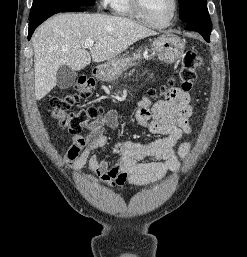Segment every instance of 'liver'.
Here are the masks:
<instances>
[{
    "mask_svg": "<svg viewBox=\"0 0 247 257\" xmlns=\"http://www.w3.org/2000/svg\"><path fill=\"white\" fill-rule=\"evenodd\" d=\"M157 32L128 18L104 14H59L33 36L35 97L44 98L55 86L58 69L75 71L94 62L110 61L135 42ZM94 40L90 52L84 47Z\"/></svg>",
    "mask_w": 247,
    "mask_h": 257,
    "instance_id": "liver-1",
    "label": "liver"
}]
</instances>
